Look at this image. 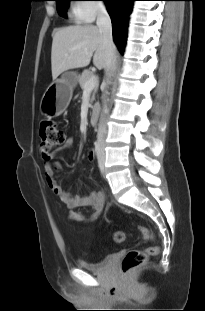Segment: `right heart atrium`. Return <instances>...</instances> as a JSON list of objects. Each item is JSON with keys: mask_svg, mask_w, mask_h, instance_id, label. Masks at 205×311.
I'll return each instance as SVG.
<instances>
[{"mask_svg": "<svg viewBox=\"0 0 205 311\" xmlns=\"http://www.w3.org/2000/svg\"><path fill=\"white\" fill-rule=\"evenodd\" d=\"M99 0H79L74 14L78 20L92 22L96 17L106 12Z\"/></svg>", "mask_w": 205, "mask_h": 311, "instance_id": "obj_1", "label": "right heart atrium"}]
</instances>
